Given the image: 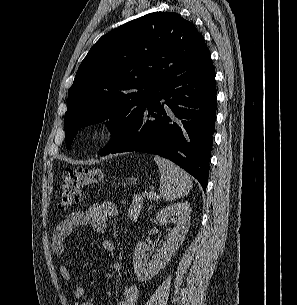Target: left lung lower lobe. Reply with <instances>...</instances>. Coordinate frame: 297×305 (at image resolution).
<instances>
[{
    "mask_svg": "<svg viewBox=\"0 0 297 305\" xmlns=\"http://www.w3.org/2000/svg\"><path fill=\"white\" fill-rule=\"evenodd\" d=\"M215 118V68L211 64L162 85L132 120L125 137L101 155L140 151L163 156L194 176L205 191Z\"/></svg>",
    "mask_w": 297,
    "mask_h": 305,
    "instance_id": "0a47b994",
    "label": "left lung lower lobe"
}]
</instances>
